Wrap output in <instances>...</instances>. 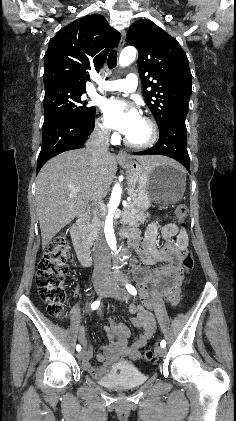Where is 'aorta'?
I'll return each mask as SVG.
<instances>
[{
	"label": "aorta",
	"mask_w": 236,
	"mask_h": 421,
	"mask_svg": "<svg viewBox=\"0 0 236 421\" xmlns=\"http://www.w3.org/2000/svg\"><path fill=\"white\" fill-rule=\"evenodd\" d=\"M136 52L137 50L136 48H134V46H125V48H123V50H121L120 52V56H119L120 66H128V64H131V62L135 60ZM121 194H122V188L120 184H115V186H113L110 200L108 202V215L105 219V227H104L106 241L110 249H112L114 253H117V247H116V239H115L114 229H113V221H114L116 208L118 204H120Z\"/></svg>",
	"instance_id": "762f6f07"
}]
</instances>
